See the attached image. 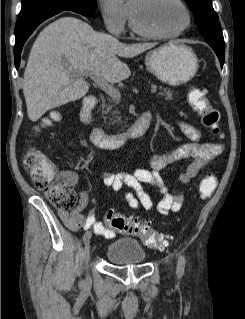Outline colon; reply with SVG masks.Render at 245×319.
<instances>
[{"instance_id": "5ec220e1", "label": "colon", "mask_w": 245, "mask_h": 319, "mask_svg": "<svg viewBox=\"0 0 245 319\" xmlns=\"http://www.w3.org/2000/svg\"><path fill=\"white\" fill-rule=\"evenodd\" d=\"M189 102L201 121L213 135L222 136L219 112L213 108L203 90L193 89L189 92ZM56 119V116H52ZM51 124V119L43 121L41 127ZM25 166L35 187L44 192L50 203L62 211L71 210L76 206L77 195L73 190L70 172L57 171L53 162L36 150H28L24 158ZM217 184L213 174L206 175L200 184L201 196L209 197ZM106 223L112 229L122 233L137 235L148 248H160L168 244V240L151 229L150 224L141 219L127 217L110 211L106 215Z\"/></svg>"}]
</instances>
